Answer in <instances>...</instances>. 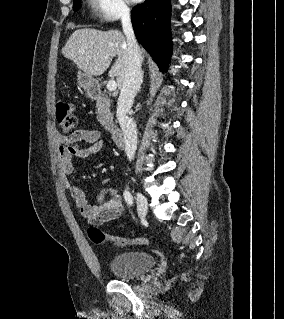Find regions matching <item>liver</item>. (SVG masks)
I'll return each instance as SVG.
<instances>
[{"mask_svg": "<svg viewBox=\"0 0 284 319\" xmlns=\"http://www.w3.org/2000/svg\"><path fill=\"white\" fill-rule=\"evenodd\" d=\"M62 54L92 77L102 75L110 66L112 59L117 56L109 76L116 77V84L121 89L129 54L126 38L120 31L78 29L69 37L62 48Z\"/></svg>", "mask_w": 284, "mask_h": 319, "instance_id": "liver-1", "label": "liver"}]
</instances>
